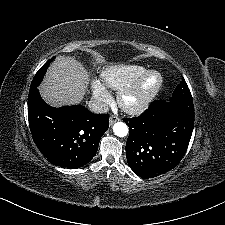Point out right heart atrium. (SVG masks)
Instances as JSON below:
<instances>
[{
  "mask_svg": "<svg viewBox=\"0 0 225 225\" xmlns=\"http://www.w3.org/2000/svg\"><path fill=\"white\" fill-rule=\"evenodd\" d=\"M90 89L95 100L101 104L108 102L111 98L106 85L100 80H92Z\"/></svg>",
  "mask_w": 225,
  "mask_h": 225,
  "instance_id": "d8ad5b80",
  "label": "right heart atrium"
}]
</instances>
